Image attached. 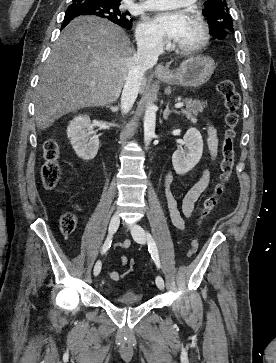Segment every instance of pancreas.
I'll use <instances>...</instances> for the list:
<instances>
[{
    "mask_svg": "<svg viewBox=\"0 0 276 363\" xmlns=\"http://www.w3.org/2000/svg\"><path fill=\"white\" fill-rule=\"evenodd\" d=\"M184 103L185 108L182 109L181 112L192 122H195L199 112H203L204 108L207 107L206 101L187 99Z\"/></svg>",
    "mask_w": 276,
    "mask_h": 363,
    "instance_id": "cf45deb5",
    "label": "pancreas"
}]
</instances>
